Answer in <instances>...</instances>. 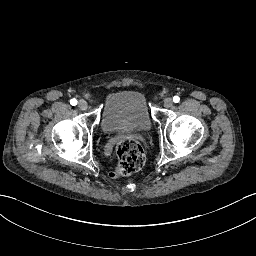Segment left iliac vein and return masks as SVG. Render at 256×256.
I'll return each instance as SVG.
<instances>
[{
	"label": "left iliac vein",
	"instance_id": "1",
	"mask_svg": "<svg viewBox=\"0 0 256 256\" xmlns=\"http://www.w3.org/2000/svg\"><path fill=\"white\" fill-rule=\"evenodd\" d=\"M164 106H165L166 108H171V107L173 106V100H172V98H166V99L164 100Z\"/></svg>",
	"mask_w": 256,
	"mask_h": 256
}]
</instances>
